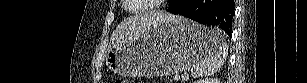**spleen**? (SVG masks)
<instances>
[{
	"label": "spleen",
	"mask_w": 307,
	"mask_h": 83,
	"mask_svg": "<svg viewBox=\"0 0 307 83\" xmlns=\"http://www.w3.org/2000/svg\"><path fill=\"white\" fill-rule=\"evenodd\" d=\"M209 29L212 49L205 57L192 66L191 75L195 78L213 75L222 68L227 58L228 45L223 38L221 30Z\"/></svg>",
	"instance_id": "obj_1"
}]
</instances>
